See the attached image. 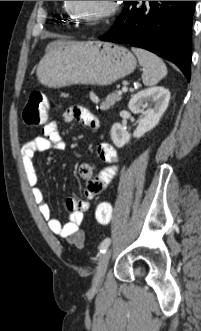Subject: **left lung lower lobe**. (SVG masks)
Masks as SVG:
<instances>
[{
    "mask_svg": "<svg viewBox=\"0 0 201 331\" xmlns=\"http://www.w3.org/2000/svg\"><path fill=\"white\" fill-rule=\"evenodd\" d=\"M103 41L129 43L176 64L190 80L191 29L195 1H124Z\"/></svg>",
    "mask_w": 201,
    "mask_h": 331,
    "instance_id": "0a47b994",
    "label": "left lung lower lobe"
}]
</instances>
